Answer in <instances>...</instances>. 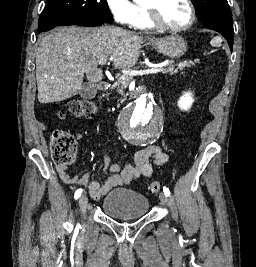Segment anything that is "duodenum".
I'll use <instances>...</instances> for the list:
<instances>
[{"label":"duodenum","mask_w":256,"mask_h":267,"mask_svg":"<svg viewBox=\"0 0 256 267\" xmlns=\"http://www.w3.org/2000/svg\"><path fill=\"white\" fill-rule=\"evenodd\" d=\"M98 87H99V89L101 91H105L109 87L108 86V82L105 81V80H103V81L100 82V84H99ZM132 93H133V95H132V98L133 99H140L141 98V95L140 94H143L144 93V90L143 89H133L132 90Z\"/></svg>","instance_id":"duodenum-1"}]
</instances>
